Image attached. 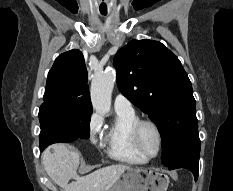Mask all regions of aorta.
<instances>
[{
  "label": "aorta",
  "mask_w": 233,
  "mask_h": 191,
  "mask_svg": "<svg viewBox=\"0 0 233 191\" xmlns=\"http://www.w3.org/2000/svg\"><path fill=\"white\" fill-rule=\"evenodd\" d=\"M116 74L114 70H107L92 80L91 102L97 113L106 115L111 108V95L115 84Z\"/></svg>",
  "instance_id": "1"
}]
</instances>
